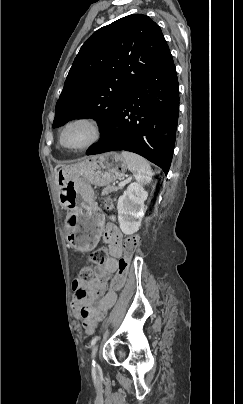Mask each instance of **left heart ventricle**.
<instances>
[{
	"label": "left heart ventricle",
	"mask_w": 243,
	"mask_h": 404,
	"mask_svg": "<svg viewBox=\"0 0 243 404\" xmlns=\"http://www.w3.org/2000/svg\"><path fill=\"white\" fill-rule=\"evenodd\" d=\"M93 135L92 126L88 122L80 121L66 129L63 141L68 147H81L90 142Z\"/></svg>",
	"instance_id": "obj_1"
}]
</instances>
